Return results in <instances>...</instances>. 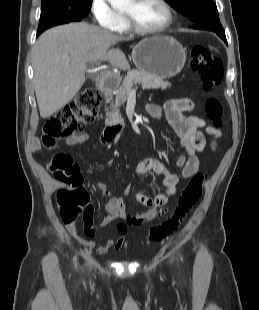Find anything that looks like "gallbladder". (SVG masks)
<instances>
[{"label":"gallbladder","mask_w":259,"mask_h":310,"mask_svg":"<svg viewBox=\"0 0 259 310\" xmlns=\"http://www.w3.org/2000/svg\"><path fill=\"white\" fill-rule=\"evenodd\" d=\"M89 78L94 81L95 76L94 75H89Z\"/></svg>","instance_id":"gallbladder-1"}]
</instances>
